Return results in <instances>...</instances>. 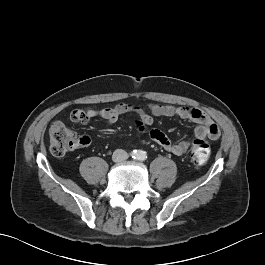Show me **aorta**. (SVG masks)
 Listing matches in <instances>:
<instances>
[{
  "label": "aorta",
  "instance_id": "762f6f07",
  "mask_svg": "<svg viewBox=\"0 0 265 265\" xmlns=\"http://www.w3.org/2000/svg\"><path fill=\"white\" fill-rule=\"evenodd\" d=\"M136 158L138 160H145L146 159V152L145 151H142V150H139L137 153H136Z\"/></svg>",
  "mask_w": 265,
  "mask_h": 265
}]
</instances>
